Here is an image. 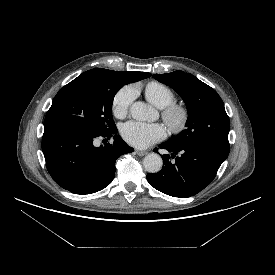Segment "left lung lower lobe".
Listing matches in <instances>:
<instances>
[{"mask_svg": "<svg viewBox=\"0 0 275 275\" xmlns=\"http://www.w3.org/2000/svg\"><path fill=\"white\" fill-rule=\"evenodd\" d=\"M171 155H163V167L157 173H148L147 180L155 189L173 197H191L215 178L227 153L201 146L162 143Z\"/></svg>", "mask_w": 275, "mask_h": 275, "instance_id": "left-lung-lower-lobe-1", "label": "left lung lower lobe"}]
</instances>
